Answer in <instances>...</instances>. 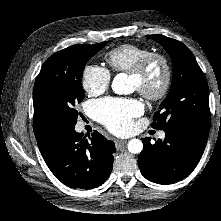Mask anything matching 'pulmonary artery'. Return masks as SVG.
Returning <instances> with one entry per match:
<instances>
[{
    "label": "pulmonary artery",
    "instance_id": "obj_1",
    "mask_svg": "<svg viewBox=\"0 0 221 221\" xmlns=\"http://www.w3.org/2000/svg\"><path fill=\"white\" fill-rule=\"evenodd\" d=\"M164 137H165V133L164 132L159 133V138L163 139Z\"/></svg>",
    "mask_w": 221,
    "mask_h": 221
}]
</instances>
